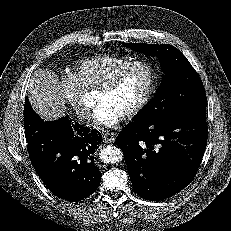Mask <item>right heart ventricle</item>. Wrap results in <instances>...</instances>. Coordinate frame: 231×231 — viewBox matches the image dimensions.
Wrapping results in <instances>:
<instances>
[{
    "label": "right heart ventricle",
    "mask_w": 231,
    "mask_h": 231,
    "mask_svg": "<svg viewBox=\"0 0 231 231\" xmlns=\"http://www.w3.org/2000/svg\"><path fill=\"white\" fill-rule=\"evenodd\" d=\"M132 61V58L122 55H97L76 63L73 75L84 89H97Z\"/></svg>",
    "instance_id": "1"
}]
</instances>
